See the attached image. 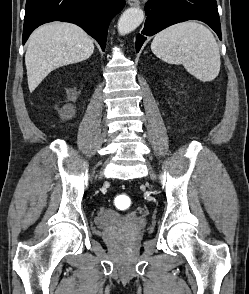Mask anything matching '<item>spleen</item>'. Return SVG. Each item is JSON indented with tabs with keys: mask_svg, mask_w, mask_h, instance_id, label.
I'll list each match as a JSON object with an SVG mask.
<instances>
[{
	"mask_svg": "<svg viewBox=\"0 0 249 294\" xmlns=\"http://www.w3.org/2000/svg\"><path fill=\"white\" fill-rule=\"evenodd\" d=\"M152 52L170 64H182L203 82L214 80L220 71V52L212 32L195 21L172 25L155 35Z\"/></svg>",
	"mask_w": 249,
	"mask_h": 294,
	"instance_id": "1",
	"label": "spleen"
}]
</instances>
